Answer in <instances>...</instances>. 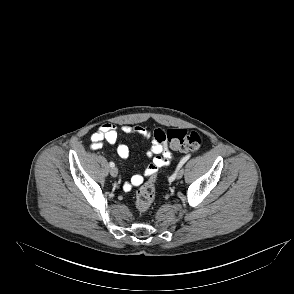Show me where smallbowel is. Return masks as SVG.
<instances>
[{
	"instance_id": "small-bowel-1",
	"label": "small bowel",
	"mask_w": 294,
	"mask_h": 294,
	"mask_svg": "<svg viewBox=\"0 0 294 294\" xmlns=\"http://www.w3.org/2000/svg\"><path fill=\"white\" fill-rule=\"evenodd\" d=\"M121 131L124 134H136L145 137L151 141V146L147 151V156L152 159V162L143 170L141 174H136L131 179L123 184V189L129 191L132 187L142 184L146 177L156 175L159 169L166 166L170 162V152L166 143L159 142L154 135V132L146 130L140 125H123ZM118 140L117 126L113 123H104L99 129L91 135L92 150L100 149L103 144L116 145ZM117 154L122 159H127L130 151L127 145L123 143L117 144Z\"/></svg>"
}]
</instances>
